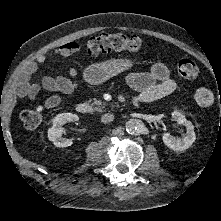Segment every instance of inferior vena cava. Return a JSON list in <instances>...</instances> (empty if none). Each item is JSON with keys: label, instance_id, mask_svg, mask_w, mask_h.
<instances>
[{"label": "inferior vena cava", "instance_id": "inferior-vena-cava-1", "mask_svg": "<svg viewBox=\"0 0 221 221\" xmlns=\"http://www.w3.org/2000/svg\"><path fill=\"white\" fill-rule=\"evenodd\" d=\"M114 120V115L111 114V113H106V114H103L102 117H101V122L103 123H110Z\"/></svg>", "mask_w": 221, "mask_h": 221}]
</instances>
